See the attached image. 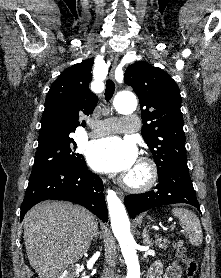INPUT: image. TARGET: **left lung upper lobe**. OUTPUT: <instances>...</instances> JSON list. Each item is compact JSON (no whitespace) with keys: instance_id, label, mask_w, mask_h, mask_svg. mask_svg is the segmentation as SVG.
<instances>
[{"instance_id":"left-lung-upper-lobe-1","label":"left lung upper lobe","mask_w":221,"mask_h":278,"mask_svg":"<svg viewBox=\"0 0 221 278\" xmlns=\"http://www.w3.org/2000/svg\"><path fill=\"white\" fill-rule=\"evenodd\" d=\"M124 82L139 98L141 134L153 154L158 175L176 163H187L181 96L174 80L158 67L136 62L127 68Z\"/></svg>"}]
</instances>
